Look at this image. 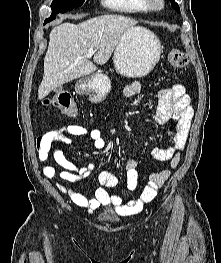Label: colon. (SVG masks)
I'll return each mask as SVG.
<instances>
[{
    "instance_id": "colon-1",
    "label": "colon",
    "mask_w": 221,
    "mask_h": 263,
    "mask_svg": "<svg viewBox=\"0 0 221 263\" xmlns=\"http://www.w3.org/2000/svg\"><path fill=\"white\" fill-rule=\"evenodd\" d=\"M168 59L171 65L176 68H184L187 66L188 63L185 53L177 48H173L170 50ZM45 103L53 105L68 117L73 118L76 117L78 114L77 105L69 94H56L51 99H46Z\"/></svg>"
}]
</instances>
